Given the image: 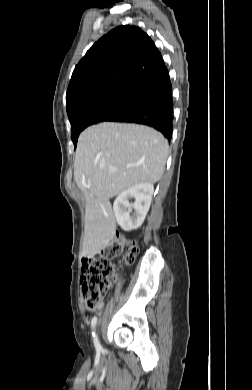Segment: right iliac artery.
Listing matches in <instances>:
<instances>
[{
    "label": "right iliac artery",
    "mask_w": 252,
    "mask_h": 390,
    "mask_svg": "<svg viewBox=\"0 0 252 390\" xmlns=\"http://www.w3.org/2000/svg\"><path fill=\"white\" fill-rule=\"evenodd\" d=\"M96 323H97V317L94 316L92 318V321H91V327H92V337H93V342H94V345H95V348L97 351H101V345L99 343V340L97 338V335L95 333V326H96Z\"/></svg>",
    "instance_id": "82829eb1"
}]
</instances>
